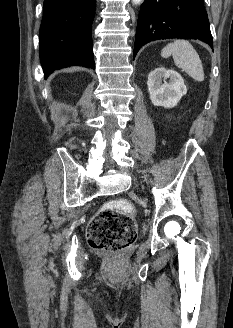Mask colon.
<instances>
[{"label": "colon", "instance_id": "obj_1", "mask_svg": "<svg viewBox=\"0 0 233 328\" xmlns=\"http://www.w3.org/2000/svg\"><path fill=\"white\" fill-rule=\"evenodd\" d=\"M135 209L126 200L105 204L92 218L87 229L89 245L98 251L119 254L136 239Z\"/></svg>", "mask_w": 233, "mask_h": 328}]
</instances>
